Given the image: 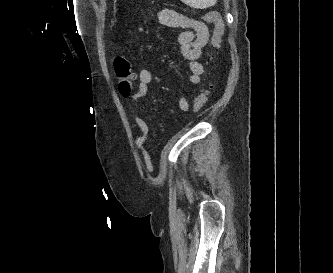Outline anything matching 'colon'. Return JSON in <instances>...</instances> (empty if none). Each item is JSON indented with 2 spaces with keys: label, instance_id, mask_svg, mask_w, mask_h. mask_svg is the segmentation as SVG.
Listing matches in <instances>:
<instances>
[{
  "label": "colon",
  "instance_id": "5ec220e1",
  "mask_svg": "<svg viewBox=\"0 0 333 273\" xmlns=\"http://www.w3.org/2000/svg\"><path fill=\"white\" fill-rule=\"evenodd\" d=\"M205 20L208 23L213 24L211 44L217 46L221 43L224 33V22L221 16L214 11H210L205 14ZM114 69L117 78L118 90L121 96L127 98L130 96L135 75L132 72L131 63L124 57H117L114 61ZM210 86L204 88L199 92L192 103V111L197 112L201 110L208 101Z\"/></svg>",
  "mask_w": 333,
  "mask_h": 273
}]
</instances>
